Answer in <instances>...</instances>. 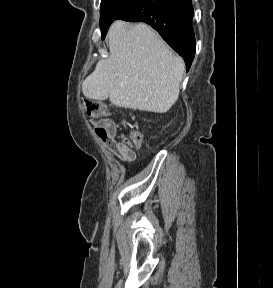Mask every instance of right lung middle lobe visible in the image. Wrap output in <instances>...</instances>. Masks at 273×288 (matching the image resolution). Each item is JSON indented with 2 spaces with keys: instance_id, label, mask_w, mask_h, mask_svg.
I'll return each instance as SVG.
<instances>
[{
  "instance_id": "1",
  "label": "right lung middle lobe",
  "mask_w": 273,
  "mask_h": 288,
  "mask_svg": "<svg viewBox=\"0 0 273 288\" xmlns=\"http://www.w3.org/2000/svg\"><path fill=\"white\" fill-rule=\"evenodd\" d=\"M137 0H101L100 28L101 37L105 38L111 23L126 12Z\"/></svg>"
}]
</instances>
